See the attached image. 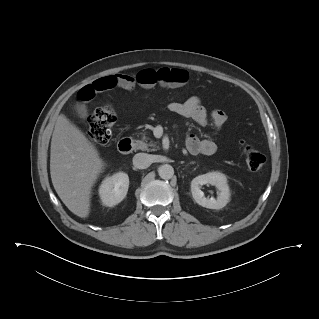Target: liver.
<instances>
[{
	"label": "liver",
	"instance_id": "obj_1",
	"mask_svg": "<svg viewBox=\"0 0 319 319\" xmlns=\"http://www.w3.org/2000/svg\"><path fill=\"white\" fill-rule=\"evenodd\" d=\"M50 151V174L58 196L72 213L88 217L92 186L104 167L97 149L61 114L55 124Z\"/></svg>",
	"mask_w": 319,
	"mask_h": 319
}]
</instances>
